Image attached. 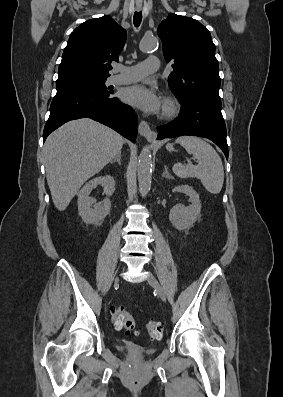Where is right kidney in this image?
Masks as SVG:
<instances>
[{
  "instance_id": "1",
  "label": "right kidney",
  "mask_w": 283,
  "mask_h": 397,
  "mask_svg": "<svg viewBox=\"0 0 283 397\" xmlns=\"http://www.w3.org/2000/svg\"><path fill=\"white\" fill-rule=\"evenodd\" d=\"M97 184L104 187V193L107 197H110L115 191V180L110 175L96 177L83 186L78 194V211L86 224L97 225L110 214L111 202L109 198L103 200L102 203H96L95 199L89 197Z\"/></svg>"
}]
</instances>
